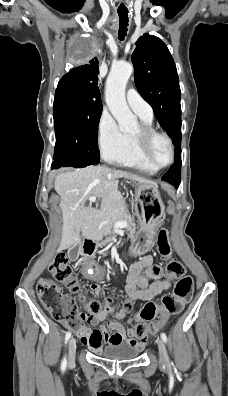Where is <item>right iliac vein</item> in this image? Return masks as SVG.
<instances>
[{"mask_svg":"<svg viewBox=\"0 0 228 396\" xmlns=\"http://www.w3.org/2000/svg\"><path fill=\"white\" fill-rule=\"evenodd\" d=\"M76 354V340L71 338L68 344V363L72 364L75 360Z\"/></svg>","mask_w":228,"mask_h":396,"instance_id":"1","label":"right iliac vein"}]
</instances>
